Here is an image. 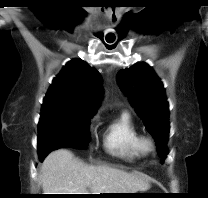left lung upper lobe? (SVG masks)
Here are the masks:
<instances>
[{
	"label": "left lung upper lobe",
	"instance_id": "5c2ea615",
	"mask_svg": "<svg viewBox=\"0 0 208 198\" xmlns=\"http://www.w3.org/2000/svg\"><path fill=\"white\" fill-rule=\"evenodd\" d=\"M121 90L153 136L162 163L168 154L169 104L163 83L146 63L135 64L117 74Z\"/></svg>",
	"mask_w": 208,
	"mask_h": 198
}]
</instances>
